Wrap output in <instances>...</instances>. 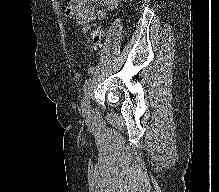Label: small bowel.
<instances>
[{"instance_id":"c3829d8e","label":"small bowel","mask_w":219,"mask_h":192,"mask_svg":"<svg viewBox=\"0 0 219 192\" xmlns=\"http://www.w3.org/2000/svg\"><path fill=\"white\" fill-rule=\"evenodd\" d=\"M120 0H69L66 13L76 20L82 35H86L96 19H107Z\"/></svg>"}]
</instances>
